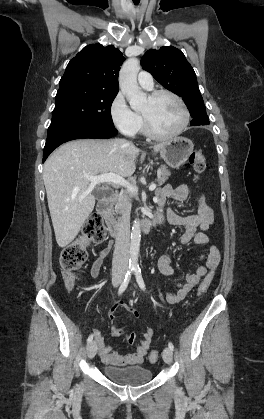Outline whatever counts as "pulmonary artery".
Returning <instances> with one entry per match:
<instances>
[{
  "label": "pulmonary artery",
  "instance_id": "1",
  "mask_svg": "<svg viewBox=\"0 0 264 419\" xmlns=\"http://www.w3.org/2000/svg\"><path fill=\"white\" fill-rule=\"evenodd\" d=\"M138 83L144 89H151L153 87V78L147 71H141L138 74Z\"/></svg>",
  "mask_w": 264,
  "mask_h": 419
}]
</instances>
